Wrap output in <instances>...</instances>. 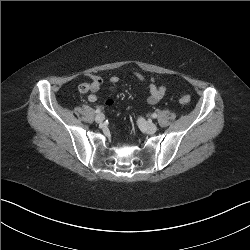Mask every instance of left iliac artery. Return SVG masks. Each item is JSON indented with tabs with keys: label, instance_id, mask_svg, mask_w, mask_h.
I'll return each instance as SVG.
<instances>
[{
	"label": "left iliac artery",
	"instance_id": "obj_1",
	"mask_svg": "<svg viewBox=\"0 0 250 250\" xmlns=\"http://www.w3.org/2000/svg\"><path fill=\"white\" fill-rule=\"evenodd\" d=\"M157 116H158V115H157L156 113H153V114H152V117H153V118H157Z\"/></svg>",
	"mask_w": 250,
	"mask_h": 250
}]
</instances>
